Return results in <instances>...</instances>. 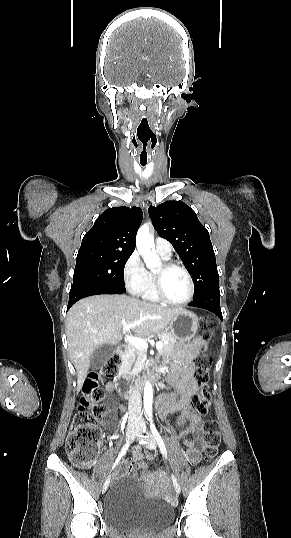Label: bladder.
Instances as JSON below:
<instances>
[{"instance_id":"obj_1","label":"bladder","mask_w":291,"mask_h":538,"mask_svg":"<svg viewBox=\"0 0 291 538\" xmlns=\"http://www.w3.org/2000/svg\"><path fill=\"white\" fill-rule=\"evenodd\" d=\"M173 509L158 498L145 497L138 479L121 476L113 482L103 502L106 523L120 530L155 528L173 518Z\"/></svg>"}]
</instances>
